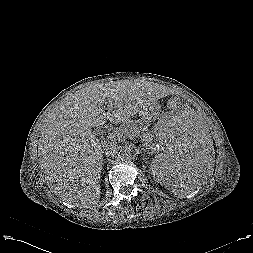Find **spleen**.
Instances as JSON below:
<instances>
[{"instance_id": "spleen-1", "label": "spleen", "mask_w": 253, "mask_h": 253, "mask_svg": "<svg viewBox=\"0 0 253 253\" xmlns=\"http://www.w3.org/2000/svg\"><path fill=\"white\" fill-rule=\"evenodd\" d=\"M151 157L155 180L180 197L208 182L211 140L196 104L180 101L167 110L152 133Z\"/></svg>"}]
</instances>
